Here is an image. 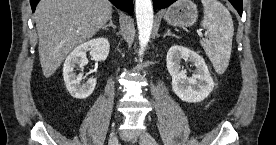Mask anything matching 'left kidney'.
Wrapping results in <instances>:
<instances>
[{"label":"left kidney","mask_w":276,"mask_h":145,"mask_svg":"<svg viewBox=\"0 0 276 145\" xmlns=\"http://www.w3.org/2000/svg\"><path fill=\"white\" fill-rule=\"evenodd\" d=\"M190 61L196 67L194 74L187 77L181 70V61ZM167 69L172 76V89L184 102L197 103L204 100L214 88V81L204 59L195 51L181 46H172L166 58Z\"/></svg>","instance_id":"left-kidney-1"}]
</instances>
